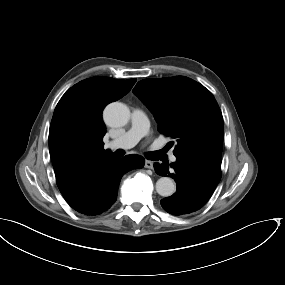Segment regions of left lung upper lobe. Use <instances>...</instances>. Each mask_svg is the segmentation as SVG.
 <instances>
[{
	"mask_svg": "<svg viewBox=\"0 0 285 285\" xmlns=\"http://www.w3.org/2000/svg\"><path fill=\"white\" fill-rule=\"evenodd\" d=\"M133 93L153 113L158 131L176 139L175 157L221 164L223 118L208 89L188 77L176 76L142 80Z\"/></svg>",
	"mask_w": 285,
	"mask_h": 285,
	"instance_id": "obj_1",
	"label": "left lung upper lobe"
}]
</instances>
